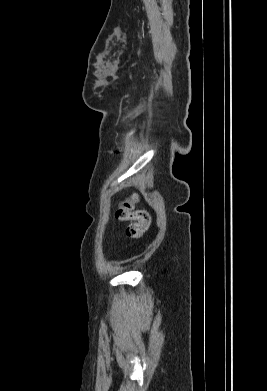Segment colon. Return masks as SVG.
I'll list each match as a JSON object with an SVG mask.
<instances>
[{
    "label": "colon",
    "mask_w": 267,
    "mask_h": 391,
    "mask_svg": "<svg viewBox=\"0 0 267 391\" xmlns=\"http://www.w3.org/2000/svg\"><path fill=\"white\" fill-rule=\"evenodd\" d=\"M137 202L138 197L132 195L118 204L115 213V216L119 221H131L126 229V234L132 239L142 238L150 225V216L148 212L135 209Z\"/></svg>",
    "instance_id": "1"
}]
</instances>
